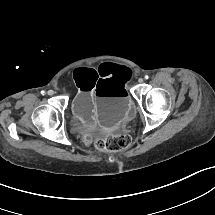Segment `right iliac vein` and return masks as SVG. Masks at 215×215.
<instances>
[{"label":"right iliac vein","mask_w":215,"mask_h":215,"mask_svg":"<svg viewBox=\"0 0 215 215\" xmlns=\"http://www.w3.org/2000/svg\"><path fill=\"white\" fill-rule=\"evenodd\" d=\"M47 93H48V95H53L54 91L53 90H49Z\"/></svg>","instance_id":"63e3f726"}]
</instances>
